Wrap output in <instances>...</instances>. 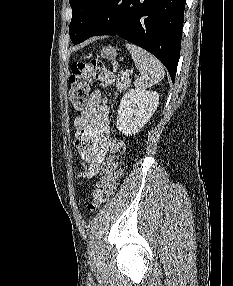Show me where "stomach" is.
Returning <instances> with one entry per match:
<instances>
[{"label": "stomach", "mask_w": 233, "mask_h": 286, "mask_svg": "<svg viewBox=\"0 0 233 286\" xmlns=\"http://www.w3.org/2000/svg\"><path fill=\"white\" fill-rule=\"evenodd\" d=\"M116 54H117L116 49L112 46H109V47L103 48L101 50L100 56L102 58H106V59H110V60L114 61Z\"/></svg>", "instance_id": "obj_1"}]
</instances>
